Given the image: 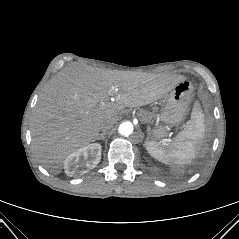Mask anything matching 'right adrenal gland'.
Listing matches in <instances>:
<instances>
[{
  "mask_svg": "<svg viewBox=\"0 0 239 239\" xmlns=\"http://www.w3.org/2000/svg\"><path fill=\"white\" fill-rule=\"evenodd\" d=\"M104 137H105V132H104V133H101V134L97 137V140L104 139Z\"/></svg>",
  "mask_w": 239,
  "mask_h": 239,
  "instance_id": "2a0ac1e0",
  "label": "right adrenal gland"
}]
</instances>
